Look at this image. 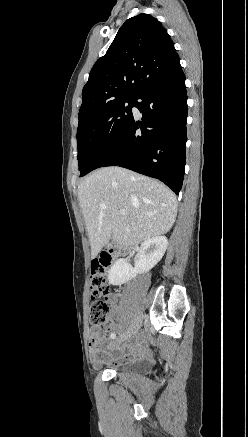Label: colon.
Instances as JSON below:
<instances>
[{"label": "colon", "mask_w": 248, "mask_h": 437, "mask_svg": "<svg viewBox=\"0 0 248 437\" xmlns=\"http://www.w3.org/2000/svg\"><path fill=\"white\" fill-rule=\"evenodd\" d=\"M110 265L105 257L100 255L91 261L90 274V320L95 326H100L108 322L110 313L107 304V276L106 269Z\"/></svg>", "instance_id": "1"}]
</instances>
